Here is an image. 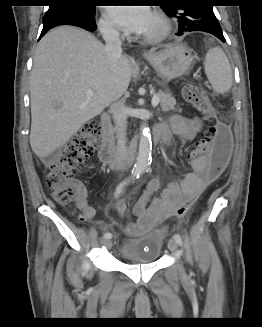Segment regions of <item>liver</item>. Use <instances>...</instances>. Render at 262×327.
<instances>
[{
	"label": "liver",
	"mask_w": 262,
	"mask_h": 327,
	"mask_svg": "<svg viewBox=\"0 0 262 327\" xmlns=\"http://www.w3.org/2000/svg\"><path fill=\"white\" fill-rule=\"evenodd\" d=\"M131 65L121 56L111 67L105 46L71 26L53 29L40 41L30 78L33 152L44 160L62 147L128 89ZM94 94L89 97L86 91Z\"/></svg>",
	"instance_id": "1"
}]
</instances>
